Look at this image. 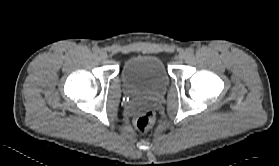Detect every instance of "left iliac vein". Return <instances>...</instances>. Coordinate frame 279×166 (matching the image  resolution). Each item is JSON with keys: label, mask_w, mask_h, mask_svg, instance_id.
Listing matches in <instances>:
<instances>
[{"label": "left iliac vein", "mask_w": 279, "mask_h": 166, "mask_svg": "<svg viewBox=\"0 0 279 166\" xmlns=\"http://www.w3.org/2000/svg\"><path fill=\"white\" fill-rule=\"evenodd\" d=\"M187 56H188V53H187L186 51H181V52L179 53V59H180V60L186 59Z\"/></svg>", "instance_id": "1"}]
</instances>
